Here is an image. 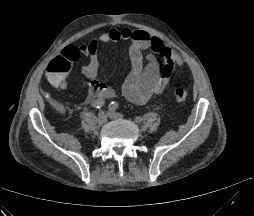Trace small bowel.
<instances>
[{
    "mask_svg": "<svg viewBox=\"0 0 254 216\" xmlns=\"http://www.w3.org/2000/svg\"><path fill=\"white\" fill-rule=\"evenodd\" d=\"M129 42V58L131 70L123 84L120 93L129 101L142 104L152 96L164 91L169 83L175 65L183 66L181 56L169 48L160 38L150 35L140 29L111 28L102 33L98 39H93L79 47L68 46L62 51L61 58L64 62L73 61L79 54L88 59L82 67V73L91 80L89 99H112L117 96V91L111 86L96 79L98 74V45L99 43ZM148 51L146 55L144 52ZM159 58L163 59L161 68ZM64 73L58 80L53 81L48 77L49 83L58 89H65L68 85Z\"/></svg>",
    "mask_w": 254,
    "mask_h": 216,
    "instance_id": "1",
    "label": "small bowel"
}]
</instances>
